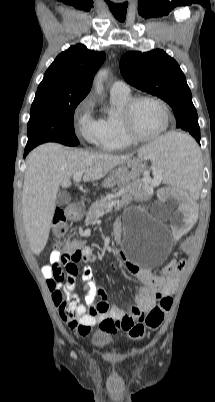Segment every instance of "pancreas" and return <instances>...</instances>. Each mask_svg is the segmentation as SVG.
<instances>
[{
    "label": "pancreas",
    "mask_w": 215,
    "mask_h": 402,
    "mask_svg": "<svg viewBox=\"0 0 215 402\" xmlns=\"http://www.w3.org/2000/svg\"><path fill=\"white\" fill-rule=\"evenodd\" d=\"M151 188V185H144L141 181L120 186V190H122L123 193L121 194V200L118 201L116 210H119L130 204V202L133 200V197L139 192H145ZM112 201L113 200L111 197H103L101 200L93 203L86 214V222L92 223L97 218L102 217L105 213L110 212L111 209H107V205Z\"/></svg>",
    "instance_id": "pancreas-1"
}]
</instances>
